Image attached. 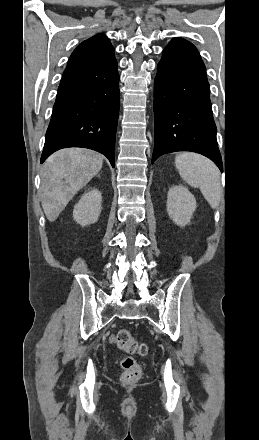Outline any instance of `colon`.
<instances>
[{
    "label": "colon",
    "instance_id": "obj_1",
    "mask_svg": "<svg viewBox=\"0 0 259 440\" xmlns=\"http://www.w3.org/2000/svg\"><path fill=\"white\" fill-rule=\"evenodd\" d=\"M115 343L119 349L129 354L143 356L147 352L146 345L137 342L131 332L125 328L117 331L115 335ZM120 365L123 369V383L130 384L139 379L141 375V368L136 360L130 357L123 358L120 362Z\"/></svg>",
    "mask_w": 259,
    "mask_h": 440
}]
</instances>
